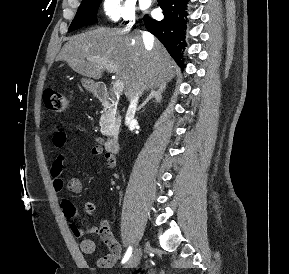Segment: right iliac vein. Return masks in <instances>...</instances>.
<instances>
[{"mask_svg":"<svg viewBox=\"0 0 289 274\" xmlns=\"http://www.w3.org/2000/svg\"><path fill=\"white\" fill-rule=\"evenodd\" d=\"M142 254V248L137 247L131 257L128 259V261L125 264V268H132L134 267L140 260Z\"/></svg>","mask_w":289,"mask_h":274,"instance_id":"63e3f726","label":"right iliac vein"}]
</instances>
